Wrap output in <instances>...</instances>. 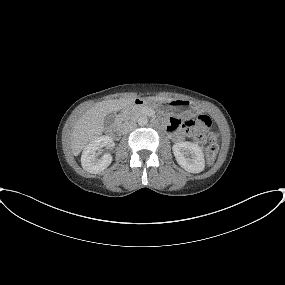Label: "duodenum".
<instances>
[{
    "label": "duodenum",
    "instance_id": "duodenum-1",
    "mask_svg": "<svg viewBox=\"0 0 285 285\" xmlns=\"http://www.w3.org/2000/svg\"><path fill=\"white\" fill-rule=\"evenodd\" d=\"M130 103L135 106H144L146 104V100L142 98H136V99H133ZM120 131H121V124L117 122L112 127V133L119 134Z\"/></svg>",
    "mask_w": 285,
    "mask_h": 285
}]
</instances>
